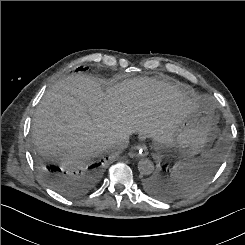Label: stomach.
<instances>
[{
  "mask_svg": "<svg viewBox=\"0 0 245 245\" xmlns=\"http://www.w3.org/2000/svg\"><path fill=\"white\" fill-rule=\"evenodd\" d=\"M218 115L213 101L203 99L196 110L184 117L172 135V143L192 154L209 146L218 133Z\"/></svg>",
  "mask_w": 245,
  "mask_h": 245,
  "instance_id": "1",
  "label": "stomach"
}]
</instances>
